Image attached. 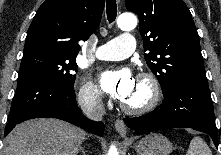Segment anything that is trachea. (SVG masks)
Masks as SVG:
<instances>
[{"label":"trachea","instance_id":"trachea-1","mask_svg":"<svg viewBox=\"0 0 221 155\" xmlns=\"http://www.w3.org/2000/svg\"><path fill=\"white\" fill-rule=\"evenodd\" d=\"M106 13H107V19L110 23L116 19V15H117L116 0L106 1Z\"/></svg>","mask_w":221,"mask_h":155}]
</instances>
